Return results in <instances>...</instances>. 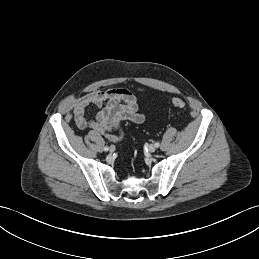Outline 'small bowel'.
<instances>
[{
    "label": "small bowel",
    "instance_id": "small-bowel-1",
    "mask_svg": "<svg viewBox=\"0 0 259 259\" xmlns=\"http://www.w3.org/2000/svg\"><path fill=\"white\" fill-rule=\"evenodd\" d=\"M93 104L100 110L94 119H88L85 111ZM73 114L80 129L90 128L108 140L119 142L124 133L121 124H141L145 114L138 111L136 96L126 88H111L86 93L73 102Z\"/></svg>",
    "mask_w": 259,
    "mask_h": 259
}]
</instances>
